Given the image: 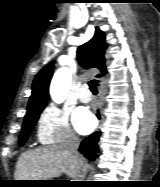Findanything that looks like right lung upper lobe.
<instances>
[{
    "mask_svg": "<svg viewBox=\"0 0 160 187\" xmlns=\"http://www.w3.org/2000/svg\"><path fill=\"white\" fill-rule=\"evenodd\" d=\"M105 34L96 27L93 38L81 45L77 50L78 61L81 66L87 68H98L105 74ZM53 75V62L44 67L35 77L32 85V95L28 103V111L35 112L43 110L48 100V87ZM100 75H97L99 77Z\"/></svg>",
    "mask_w": 160,
    "mask_h": 187,
    "instance_id": "obj_1",
    "label": "right lung upper lobe"
}]
</instances>
